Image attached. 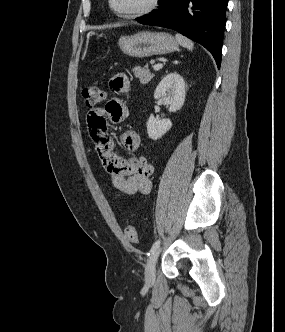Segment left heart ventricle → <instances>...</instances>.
I'll return each mask as SVG.
<instances>
[{
	"instance_id": "1",
	"label": "left heart ventricle",
	"mask_w": 285,
	"mask_h": 332,
	"mask_svg": "<svg viewBox=\"0 0 285 332\" xmlns=\"http://www.w3.org/2000/svg\"><path fill=\"white\" fill-rule=\"evenodd\" d=\"M150 0H113L114 7L120 12H131L146 7Z\"/></svg>"
}]
</instances>
